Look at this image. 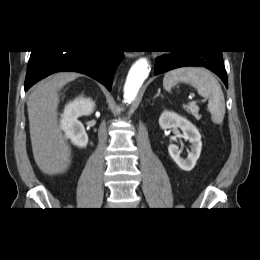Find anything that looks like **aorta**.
<instances>
[{
    "instance_id": "762f6f07",
    "label": "aorta",
    "mask_w": 260,
    "mask_h": 260,
    "mask_svg": "<svg viewBox=\"0 0 260 260\" xmlns=\"http://www.w3.org/2000/svg\"><path fill=\"white\" fill-rule=\"evenodd\" d=\"M149 74V63L147 59H138L129 70L124 85V101L131 103L135 100L137 93L142 86L144 80Z\"/></svg>"
}]
</instances>
